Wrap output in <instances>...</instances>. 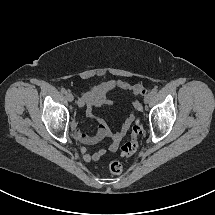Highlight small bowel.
Listing matches in <instances>:
<instances>
[{
  "mask_svg": "<svg viewBox=\"0 0 215 215\" xmlns=\"http://www.w3.org/2000/svg\"><path fill=\"white\" fill-rule=\"evenodd\" d=\"M113 89H120L123 91H131L135 96L141 97L146 93V88L141 84H133L124 80L116 79H106L103 80L94 86L90 87L78 100V105L80 107H86V114L89 117H93L98 122V129L94 135H88L83 132L81 129L74 126L73 135L84 145H96L105 138H111V143L109 149L115 151L118 149L122 139L126 135L133 119L134 114L131 113L124 120L120 130L116 133H113L104 119L94 113V109L103 105L112 104V100L108 97L109 91ZM135 111H140L142 109L141 103L139 100H135L133 103ZM83 158L86 161H97L105 153L104 149H99L95 152H89L87 148L83 147L81 149Z\"/></svg>",
  "mask_w": 215,
  "mask_h": 215,
  "instance_id": "obj_1",
  "label": "small bowel"
}]
</instances>
